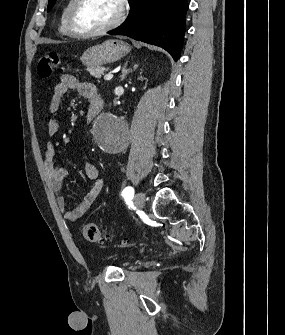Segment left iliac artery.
<instances>
[{
	"label": "left iliac artery",
	"instance_id": "obj_1",
	"mask_svg": "<svg viewBox=\"0 0 285 335\" xmlns=\"http://www.w3.org/2000/svg\"><path fill=\"white\" fill-rule=\"evenodd\" d=\"M128 195H134V189L130 186L126 187L123 191H122V196L126 197Z\"/></svg>",
	"mask_w": 285,
	"mask_h": 335
}]
</instances>
